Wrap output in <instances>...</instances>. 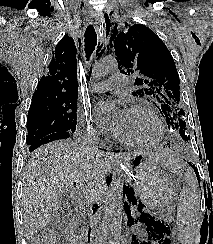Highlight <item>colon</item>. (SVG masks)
Listing matches in <instances>:
<instances>
[{
	"label": "colon",
	"mask_w": 213,
	"mask_h": 244,
	"mask_svg": "<svg viewBox=\"0 0 213 244\" xmlns=\"http://www.w3.org/2000/svg\"><path fill=\"white\" fill-rule=\"evenodd\" d=\"M178 111L175 110V114H177ZM37 244H54V237L51 234H45V236H43L39 243ZM137 244H146L145 242H137Z\"/></svg>",
	"instance_id": "1"
}]
</instances>
